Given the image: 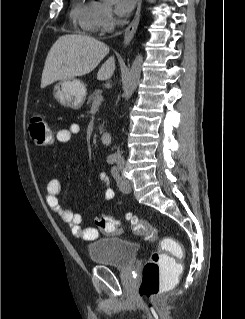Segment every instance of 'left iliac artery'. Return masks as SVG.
<instances>
[{
    "label": "left iliac artery",
    "mask_w": 245,
    "mask_h": 319,
    "mask_svg": "<svg viewBox=\"0 0 245 319\" xmlns=\"http://www.w3.org/2000/svg\"><path fill=\"white\" fill-rule=\"evenodd\" d=\"M111 174L117 182L118 187L121 190H125V184L120 180L119 170L116 166L112 167Z\"/></svg>",
    "instance_id": "44dca946"
}]
</instances>
